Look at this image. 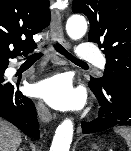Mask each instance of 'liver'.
Segmentation results:
<instances>
[{
    "instance_id": "liver-1",
    "label": "liver",
    "mask_w": 131,
    "mask_h": 151,
    "mask_svg": "<svg viewBox=\"0 0 131 151\" xmlns=\"http://www.w3.org/2000/svg\"><path fill=\"white\" fill-rule=\"evenodd\" d=\"M21 143L20 131L0 119V151H17Z\"/></svg>"
}]
</instances>
